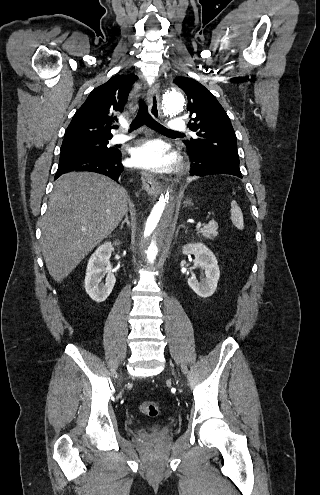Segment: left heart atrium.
Masks as SVG:
<instances>
[{"instance_id":"39dd6f15","label":"left heart atrium","mask_w":320,"mask_h":495,"mask_svg":"<svg viewBox=\"0 0 320 495\" xmlns=\"http://www.w3.org/2000/svg\"><path fill=\"white\" fill-rule=\"evenodd\" d=\"M131 163L151 171H163L173 163V157L166 154L164 147L157 141H149L132 149Z\"/></svg>"}]
</instances>
